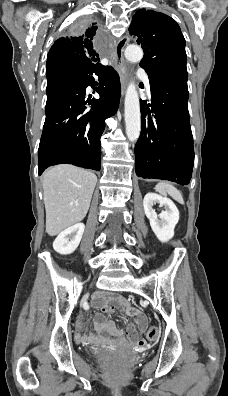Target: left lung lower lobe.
<instances>
[{
    "label": "left lung lower lobe",
    "mask_w": 228,
    "mask_h": 396,
    "mask_svg": "<svg viewBox=\"0 0 228 396\" xmlns=\"http://www.w3.org/2000/svg\"><path fill=\"white\" fill-rule=\"evenodd\" d=\"M151 110L140 100L141 134L135 146L136 175L187 185L194 147L188 112L187 84L166 73H147Z\"/></svg>",
    "instance_id": "left-lung-lower-lobe-1"
}]
</instances>
